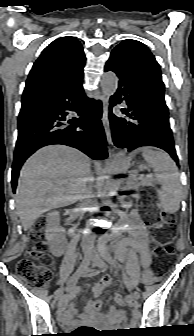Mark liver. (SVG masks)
Returning <instances> with one entry per match:
<instances>
[{
  "mask_svg": "<svg viewBox=\"0 0 194 336\" xmlns=\"http://www.w3.org/2000/svg\"><path fill=\"white\" fill-rule=\"evenodd\" d=\"M91 161L81 151L51 145L34 153L23 165L16 191V208L27 231L45 212L83 198Z\"/></svg>",
  "mask_w": 194,
  "mask_h": 336,
  "instance_id": "obj_1",
  "label": "liver"
}]
</instances>
